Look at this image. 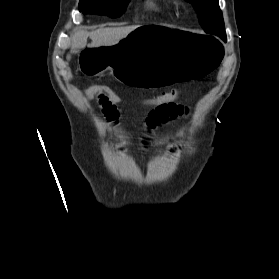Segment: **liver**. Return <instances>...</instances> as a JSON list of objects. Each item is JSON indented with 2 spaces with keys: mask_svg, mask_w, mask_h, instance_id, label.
Here are the masks:
<instances>
[{
  "mask_svg": "<svg viewBox=\"0 0 279 279\" xmlns=\"http://www.w3.org/2000/svg\"><path fill=\"white\" fill-rule=\"evenodd\" d=\"M140 26L102 28L93 32L79 30L71 36V53H77L87 45V39L92 40L89 47L98 48L116 44L126 35L139 28Z\"/></svg>",
  "mask_w": 279,
  "mask_h": 279,
  "instance_id": "obj_1",
  "label": "liver"
}]
</instances>
